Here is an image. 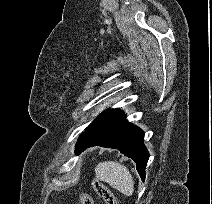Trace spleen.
Here are the masks:
<instances>
[{
    "instance_id": "3e777b00",
    "label": "spleen",
    "mask_w": 212,
    "mask_h": 204,
    "mask_svg": "<svg viewBox=\"0 0 212 204\" xmlns=\"http://www.w3.org/2000/svg\"><path fill=\"white\" fill-rule=\"evenodd\" d=\"M97 179L108 183L126 196L134 192V181L131 173L124 165L115 161H104L95 168Z\"/></svg>"
}]
</instances>
